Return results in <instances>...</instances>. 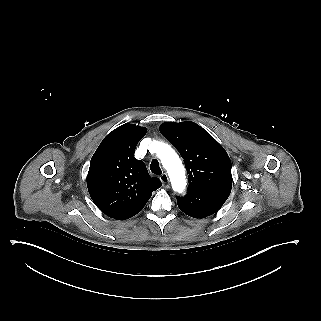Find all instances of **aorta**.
Segmentation results:
<instances>
[{
  "mask_svg": "<svg viewBox=\"0 0 321 321\" xmlns=\"http://www.w3.org/2000/svg\"><path fill=\"white\" fill-rule=\"evenodd\" d=\"M154 145L163 167L168 172L173 190L182 193L187 183L185 169L179 156L168 144L156 142Z\"/></svg>",
  "mask_w": 321,
  "mask_h": 321,
  "instance_id": "1",
  "label": "aorta"
}]
</instances>
